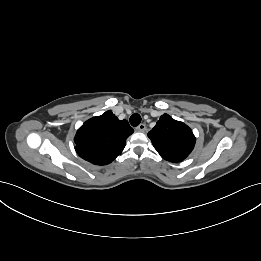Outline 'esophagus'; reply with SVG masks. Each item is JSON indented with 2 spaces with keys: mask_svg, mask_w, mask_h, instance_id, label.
Masks as SVG:
<instances>
[{
  "mask_svg": "<svg viewBox=\"0 0 261 261\" xmlns=\"http://www.w3.org/2000/svg\"><path fill=\"white\" fill-rule=\"evenodd\" d=\"M136 130L138 132H145L146 131V125L145 124H140L139 126L136 127Z\"/></svg>",
  "mask_w": 261,
  "mask_h": 261,
  "instance_id": "34e87169",
  "label": "esophagus"
}]
</instances>
